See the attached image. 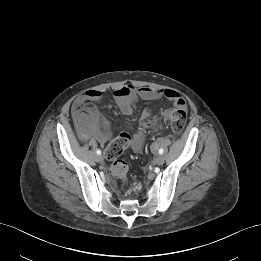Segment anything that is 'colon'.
I'll return each mask as SVG.
<instances>
[{"mask_svg":"<svg viewBox=\"0 0 261 261\" xmlns=\"http://www.w3.org/2000/svg\"><path fill=\"white\" fill-rule=\"evenodd\" d=\"M89 110L85 105H77L75 111L78 115L84 114ZM165 119L169 122L171 130L175 134L183 132L187 113L185 109H176L172 111H165L161 116L147 115L144 122L147 126L154 125L159 120ZM132 143V138L129 134L123 133L116 137L105 149V158L107 161L116 160ZM113 174L120 180L121 183H126L128 180V165L124 161H115L112 165Z\"/></svg>","mask_w":261,"mask_h":261,"instance_id":"colon-1","label":"colon"}]
</instances>
